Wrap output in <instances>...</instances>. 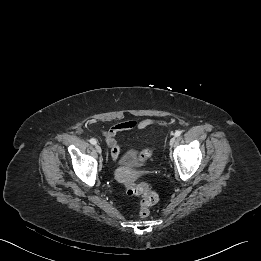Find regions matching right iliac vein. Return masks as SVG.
<instances>
[{
  "label": "right iliac vein",
  "mask_w": 261,
  "mask_h": 261,
  "mask_svg": "<svg viewBox=\"0 0 261 261\" xmlns=\"http://www.w3.org/2000/svg\"><path fill=\"white\" fill-rule=\"evenodd\" d=\"M95 148H96V151H97L99 154H101L102 149H101L100 145L97 144V145L95 146Z\"/></svg>",
  "instance_id": "63e3f726"
}]
</instances>
